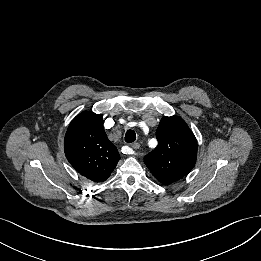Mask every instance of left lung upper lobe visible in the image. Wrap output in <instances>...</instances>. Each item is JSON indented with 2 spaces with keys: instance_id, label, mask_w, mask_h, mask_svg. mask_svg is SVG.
<instances>
[{
  "instance_id": "1",
  "label": "left lung upper lobe",
  "mask_w": 261,
  "mask_h": 261,
  "mask_svg": "<svg viewBox=\"0 0 261 261\" xmlns=\"http://www.w3.org/2000/svg\"><path fill=\"white\" fill-rule=\"evenodd\" d=\"M158 146L144 157L156 179L169 185L194 167L197 142L187 124L179 117H163L156 131Z\"/></svg>"
}]
</instances>
